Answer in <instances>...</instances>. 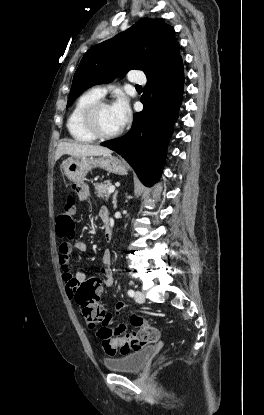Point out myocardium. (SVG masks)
<instances>
[{
    "instance_id": "myocardium-1",
    "label": "myocardium",
    "mask_w": 264,
    "mask_h": 415,
    "mask_svg": "<svg viewBox=\"0 0 264 415\" xmlns=\"http://www.w3.org/2000/svg\"><path fill=\"white\" fill-rule=\"evenodd\" d=\"M111 105L109 101L107 100H99L90 106H88L83 114H82V125L84 129L95 139L99 140H108V139H114L119 137L123 130L124 125H122L117 131L111 134H104L99 130L98 124H97V115L99 111L104 107Z\"/></svg>"
}]
</instances>
